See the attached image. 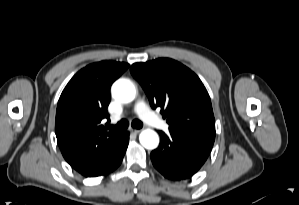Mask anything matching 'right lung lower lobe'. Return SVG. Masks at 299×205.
<instances>
[{
	"label": "right lung lower lobe",
	"mask_w": 299,
	"mask_h": 205,
	"mask_svg": "<svg viewBox=\"0 0 299 205\" xmlns=\"http://www.w3.org/2000/svg\"><path fill=\"white\" fill-rule=\"evenodd\" d=\"M129 142V133L122 134L118 145L103 158L97 160L84 174L85 177H97L113 172L122 162Z\"/></svg>",
	"instance_id": "1"
}]
</instances>
